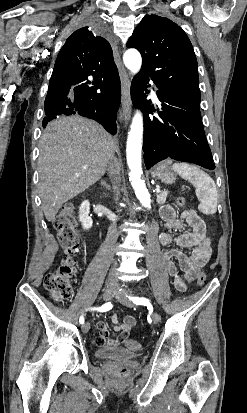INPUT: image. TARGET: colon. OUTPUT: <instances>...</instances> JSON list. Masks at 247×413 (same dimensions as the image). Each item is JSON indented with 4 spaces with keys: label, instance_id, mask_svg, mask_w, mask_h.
Instances as JSON below:
<instances>
[{
    "label": "colon",
    "instance_id": "1",
    "mask_svg": "<svg viewBox=\"0 0 247 413\" xmlns=\"http://www.w3.org/2000/svg\"><path fill=\"white\" fill-rule=\"evenodd\" d=\"M175 203L177 207H184L186 205V197L180 196L175 200ZM75 220V207L72 204H66L54 219V228L58 242L61 244L63 257L61 263L44 277L43 285L52 297L60 303L68 302L73 297L71 281L80 240V236L75 229ZM194 277L197 278L199 285L205 283V271L199 272V276ZM124 344L132 351H137L140 348L137 340H124ZM116 379L117 381H128L129 374L125 369H122L120 372H117Z\"/></svg>",
    "mask_w": 247,
    "mask_h": 413
}]
</instances>
